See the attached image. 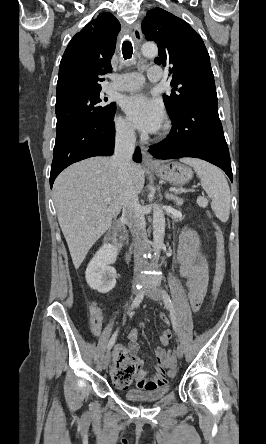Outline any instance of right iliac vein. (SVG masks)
<instances>
[{"instance_id":"obj_1","label":"right iliac vein","mask_w":266,"mask_h":444,"mask_svg":"<svg viewBox=\"0 0 266 444\" xmlns=\"http://www.w3.org/2000/svg\"><path fill=\"white\" fill-rule=\"evenodd\" d=\"M136 284L139 285V284H142V282L138 280L136 282ZM132 292L136 296L139 294L138 289L136 288V286L133 287ZM110 359H111V353H110V351H107L105 356H104V358H103V368L104 369H106L108 367V365L110 363Z\"/></svg>"}]
</instances>
